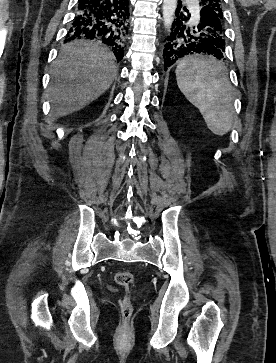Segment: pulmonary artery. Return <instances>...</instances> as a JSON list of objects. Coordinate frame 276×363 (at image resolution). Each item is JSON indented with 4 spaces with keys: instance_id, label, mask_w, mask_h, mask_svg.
<instances>
[{
    "instance_id": "e3ab8cb5",
    "label": "pulmonary artery",
    "mask_w": 276,
    "mask_h": 363,
    "mask_svg": "<svg viewBox=\"0 0 276 363\" xmlns=\"http://www.w3.org/2000/svg\"><path fill=\"white\" fill-rule=\"evenodd\" d=\"M195 0H188L189 3H194Z\"/></svg>"
}]
</instances>
